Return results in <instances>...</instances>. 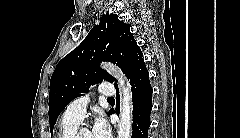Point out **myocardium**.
<instances>
[{
	"instance_id": "f54148a6",
	"label": "myocardium",
	"mask_w": 240,
	"mask_h": 138,
	"mask_svg": "<svg viewBox=\"0 0 240 138\" xmlns=\"http://www.w3.org/2000/svg\"><path fill=\"white\" fill-rule=\"evenodd\" d=\"M84 128H77L76 131L73 133L72 138H80V133Z\"/></svg>"
}]
</instances>
